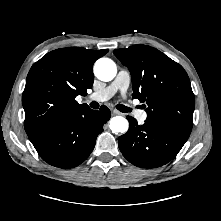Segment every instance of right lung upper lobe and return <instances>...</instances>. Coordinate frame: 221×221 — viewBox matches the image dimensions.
Instances as JSON below:
<instances>
[{
    "label": "right lung upper lobe",
    "mask_w": 221,
    "mask_h": 221,
    "mask_svg": "<svg viewBox=\"0 0 221 221\" xmlns=\"http://www.w3.org/2000/svg\"><path fill=\"white\" fill-rule=\"evenodd\" d=\"M108 49L69 47L51 51L30 69L22 95L26 132L88 107L75 98L92 88L94 62Z\"/></svg>",
    "instance_id": "1"
}]
</instances>
